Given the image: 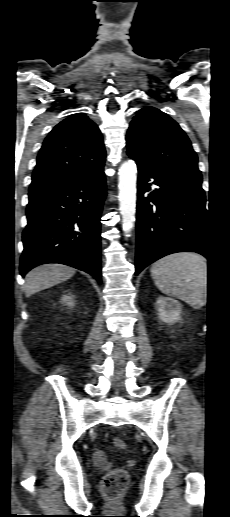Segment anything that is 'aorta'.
I'll return each mask as SVG.
<instances>
[{"label":"aorta","instance_id":"aorta-1","mask_svg":"<svg viewBox=\"0 0 230 517\" xmlns=\"http://www.w3.org/2000/svg\"><path fill=\"white\" fill-rule=\"evenodd\" d=\"M137 167L134 161L124 162L119 169V210L126 236L134 227L136 213Z\"/></svg>","mask_w":230,"mask_h":517}]
</instances>
